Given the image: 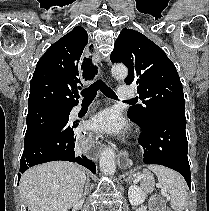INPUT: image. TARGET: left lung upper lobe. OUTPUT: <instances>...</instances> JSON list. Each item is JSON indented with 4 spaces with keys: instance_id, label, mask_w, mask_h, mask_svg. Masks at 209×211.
I'll list each match as a JSON object with an SVG mask.
<instances>
[{
    "instance_id": "1",
    "label": "left lung upper lobe",
    "mask_w": 209,
    "mask_h": 211,
    "mask_svg": "<svg viewBox=\"0 0 209 211\" xmlns=\"http://www.w3.org/2000/svg\"><path fill=\"white\" fill-rule=\"evenodd\" d=\"M113 63H123L129 74L126 84H136L144 105L131 106L128 115L146 124L166 113H185L183 88L174 64L145 35L124 28L111 53Z\"/></svg>"
}]
</instances>
